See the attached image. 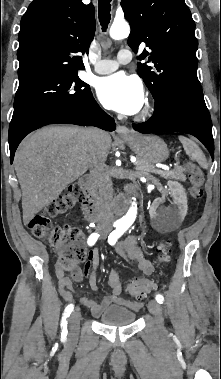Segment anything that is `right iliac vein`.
Masks as SVG:
<instances>
[{"label":"right iliac vein","instance_id":"63e3f726","mask_svg":"<svg viewBox=\"0 0 221 379\" xmlns=\"http://www.w3.org/2000/svg\"><path fill=\"white\" fill-rule=\"evenodd\" d=\"M81 319V313L79 310H75L68 319L69 322V336L75 338L78 334L79 324Z\"/></svg>","mask_w":221,"mask_h":379}]
</instances>
